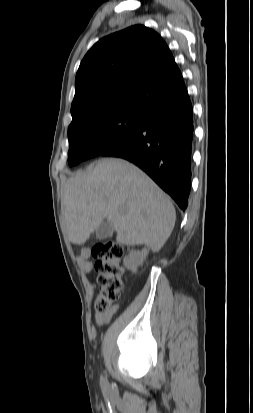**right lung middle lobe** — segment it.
<instances>
[{
    "instance_id": "1",
    "label": "right lung middle lobe",
    "mask_w": 253,
    "mask_h": 413,
    "mask_svg": "<svg viewBox=\"0 0 253 413\" xmlns=\"http://www.w3.org/2000/svg\"><path fill=\"white\" fill-rule=\"evenodd\" d=\"M147 111L133 107H110L72 120L68 128L70 166L99 156L139 130Z\"/></svg>"
}]
</instances>
